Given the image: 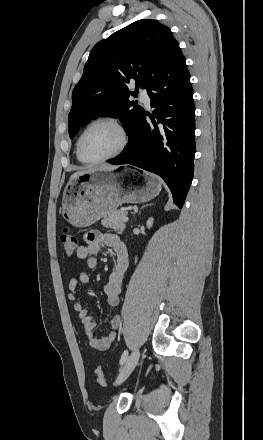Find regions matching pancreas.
<instances>
[{
  "label": "pancreas",
  "instance_id": "cf45deb5",
  "mask_svg": "<svg viewBox=\"0 0 263 440\" xmlns=\"http://www.w3.org/2000/svg\"><path fill=\"white\" fill-rule=\"evenodd\" d=\"M123 216H127V211L125 209L116 210L110 215L105 216L101 223L107 228L122 232L125 229V224L122 220Z\"/></svg>",
  "mask_w": 263,
  "mask_h": 440
}]
</instances>
